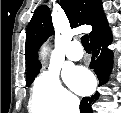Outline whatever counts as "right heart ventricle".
Segmentation results:
<instances>
[{
	"label": "right heart ventricle",
	"instance_id": "obj_1",
	"mask_svg": "<svg viewBox=\"0 0 121 113\" xmlns=\"http://www.w3.org/2000/svg\"><path fill=\"white\" fill-rule=\"evenodd\" d=\"M29 110L30 113H48L47 110L34 97L30 100Z\"/></svg>",
	"mask_w": 121,
	"mask_h": 113
}]
</instances>
